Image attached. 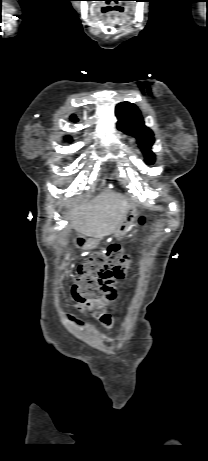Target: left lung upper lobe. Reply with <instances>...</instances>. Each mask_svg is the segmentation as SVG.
<instances>
[{
  "mask_svg": "<svg viewBox=\"0 0 208 461\" xmlns=\"http://www.w3.org/2000/svg\"><path fill=\"white\" fill-rule=\"evenodd\" d=\"M115 114L119 119L117 128L137 138V143L145 153V161L153 164L155 155L151 152L150 147L154 143L153 132L144 126V121L137 106L130 102H122L116 106Z\"/></svg>",
  "mask_w": 208,
  "mask_h": 461,
  "instance_id": "5c2ea615",
  "label": "left lung upper lobe"
}]
</instances>
